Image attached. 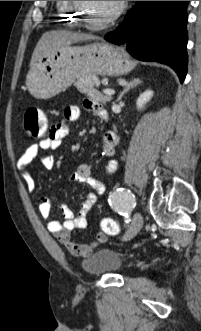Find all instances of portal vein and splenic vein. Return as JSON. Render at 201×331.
Returning <instances> with one entry per match:
<instances>
[{
	"label": "portal vein and splenic vein",
	"instance_id": "18ae733b",
	"mask_svg": "<svg viewBox=\"0 0 201 331\" xmlns=\"http://www.w3.org/2000/svg\"><path fill=\"white\" fill-rule=\"evenodd\" d=\"M103 93L107 96H111V95L115 94V91L112 89H104Z\"/></svg>",
	"mask_w": 201,
	"mask_h": 331
}]
</instances>
